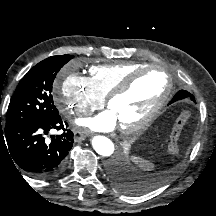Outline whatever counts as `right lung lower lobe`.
Masks as SVG:
<instances>
[{
  "instance_id": "right-lung-lower-lobe-1",
  "label": "right lung lower lobe",
  "mask_w": 216,
  "mask_h": 216,
  "mask_svg": "<svg viewBox=\"0 0 216 216\" xmlns=\"http://www.w3.org/2000/svg\"><path fill=\"white\" fill-rule=\"evenodd\" d=\"M51 129H62L64 133L46 141L44 135ZM73 143V132L65 128L59 115L0 130V146L9 151L15 164L40 179L51 178L62 171Z\"/></svg>"
}]
</instances>
